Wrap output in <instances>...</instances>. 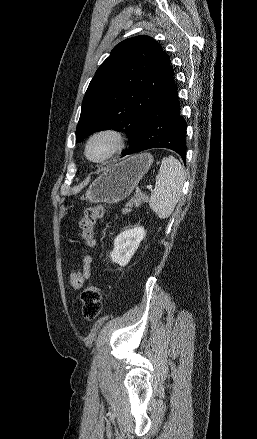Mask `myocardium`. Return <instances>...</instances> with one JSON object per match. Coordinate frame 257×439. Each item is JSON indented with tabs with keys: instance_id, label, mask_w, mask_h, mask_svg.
Returning <instances> with one entry per match:
<instances>
[{
	"instance_id": "obj_1",
	"label": "myocardium",
	"mask_w": 257,
	"mask_h": 439,
	"mask_svg": "<svg viewBox=\"0 0 257 439\" xmlns=\"http://www.w3.org/2000/svg\"><path fill=\"white\" fill-rule=\"evenodd\" d=\"M102 137H107L111 139L113 146L106 155H104L99 159H94L89 154V148L95 140ZM125 145H126V138L124 133L120 129L114 127H105L95 131L89 136L85 144L84 155L87 158V160H89L94 164H105L110 160H112L114 157H116L118 154H120L124 149Z\"/></svg>"
}]
</instances>
